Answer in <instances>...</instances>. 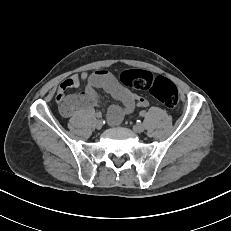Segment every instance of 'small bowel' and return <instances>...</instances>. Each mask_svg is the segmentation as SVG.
<instances>
[{
    "label": "small bowel",
    "mask_w": 231,
    "mask_h": 231,
    "mask_svg": "<svg viewBox=\"0 0 231 231\" xmlns=\"http://www.w3.org/2000/svg\"><path fill=\"white\" fill-rule=\"evenodd\" d=\"M84 85V91L80 94L67 95L69 89ZM102 89L122 104V107H112L108 111L110 124L117 125L125 114L133 112L137 107L148 106V101L131 91L121 83L120 79L112 72L98 70L91 74L82 72L65 79L59 86L56 94V102L61 115L65 118L72 117L77 111L90 110L101 105V98L97 93Z\"/></svg>",
    "instance_id": "c3829d8e"
}]
</instances>
